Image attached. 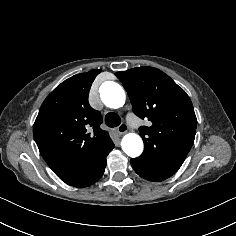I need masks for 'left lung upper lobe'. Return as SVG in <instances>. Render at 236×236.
<instances>
[{
	"label": "left lung upper lobe",
	"mask_w": 236,
	"mask_h": 236,
	"mask_svg": "<svg viewBox=\"0 0 236 236\" xmlns=\"http://www.w3.org/2000/svg\"><path fill=\"white\" fill-rule=\"evenodd\" d=\"M134 113L152 122L140 127L143 155L183 162L195 138L197 119L186 92L167 74L153 67L117 72Z\"/></svg>",
	"instance_id": "left-lung-upper-lobe-1"
}]
</instances>
